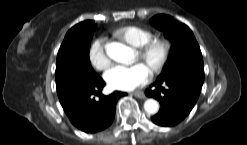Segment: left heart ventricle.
<instances>
[{"label":"left heart ventricle","mask_w":247,"mask_h":145,"mask_svg":"<svg viewBox=\"0 0 247 145\" xmlns=\"http://www.w3.org/2000/svg\"><path fill=\"white\" fill-rule=\"evenodd\" d=\"M136 59H139L143 64H145L149 69L155 64L160 58V51L158 49L153 50L147 57H138L137 53L135 55Z\"/></svg>","instance_id":"left-heart-ventricle-1"}]
</instances>
